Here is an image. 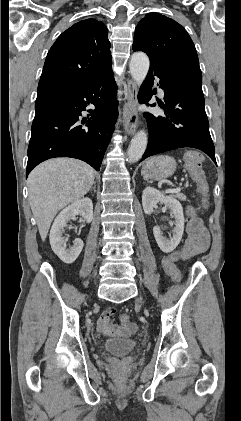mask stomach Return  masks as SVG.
<instances>
[{"instance_id": "0dacf381", "label": "stomach", "mask_w": 241, "mask_h": 421, "mask_svg": "<svg viewBox=\"0 0 241 421\" xmlns=\"http://www.w3.org/2000/svg\"><path fill=\"white\" fill-rule=\"evenodd\" d=\"M177 163L170 156H155L148 159L141 170V174L148 180H163L172 176L176 170Z\"/></svg>"}]
</instances>
